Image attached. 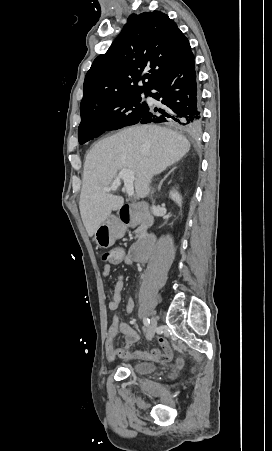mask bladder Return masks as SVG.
Returning a JSON list of instances; mask_svg holds the SVG:
<instances>
[{
  "instance_id": "obj_1",
  "label": "bladder",
  "mask_w": 272,
  "mask_h": 451,
  "mask_svg": "<svg viewBox=\"0 0 272 451\" xmlns=\"http://www.w3.org/2000/svg\"><path fill=\"white\" fill-rule=\"evenodd\" d=\"M156 364L149 361H134L131 365V371L134 376H148L155 372Z\"/></svg>"
}]
</instances>
